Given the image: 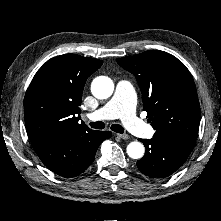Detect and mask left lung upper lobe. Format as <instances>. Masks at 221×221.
Returning <instances> with one entry per match:
<instances>
[{
	"label": "left lung upper lobe",
	"instance_id": "5c2ea615",
	"mask_svg": "<svg viewBox=\"0 0 221 221\" xmlns=\"http://www.w3.org/2000/svg\"><path fill=\"white\" fill-rule=\"evenodd\" d=\"M136 76L154 136H171L195 144L200 105L193 78L176 57L163 51H145L116 59Z\"/></svg>",
	"mask_w": 221,
	"mask_h": 221
}]
</instances>
